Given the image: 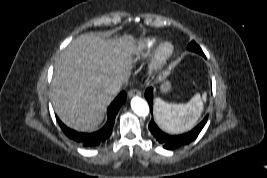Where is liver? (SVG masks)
Returning <instances> with one entry per match:
<instances>
[{"label":"liver","mask_w":267,"mask_h":178,"mask_svg":"<svg viewBox=\"0 0 267 178\" xmlns=\"http://www.w3.org/2000/svg\"><path fill=\"white\" fill-rule=\"evenodd\" d=\"M138 50L131 35L106 40L86 33L72 40L55 64L52 81V104L61 121L82 132L96 129L114 98L109 85L128 79Z\"/></svg>","instance_id":"liver-1"}]
</instances>
